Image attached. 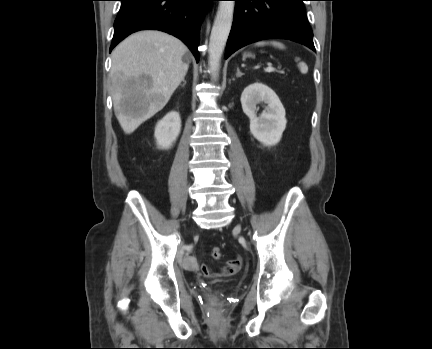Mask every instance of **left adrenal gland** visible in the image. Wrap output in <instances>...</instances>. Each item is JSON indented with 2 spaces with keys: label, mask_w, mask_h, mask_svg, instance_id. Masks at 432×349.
<instances>
[{
  "label": "left adrenal gland",
  "mask_w": 432,
  "mask_h": 349,
  "mask_svg": "<svg viewBox=\"0 0 432 349\" xmlns=\"http://www.w3.org/2000/svg\"><path fill=\"white\" fill-rule=\"evenodd\" d=\"M243 75V73L240 71V69L237 67V73H236V77H241Z\"/></svg>",
  "instance_id": "1"
}]
</instances>
